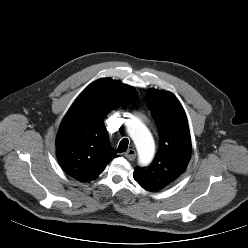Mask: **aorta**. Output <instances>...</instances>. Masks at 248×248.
Segmentation results:
<instances>
[{
	"instance_id": "obj_1",
	"label": "aorta",
	"mask_w": 248,
	"mask_h": 248,
	"mask_svg": "<svg viewBox=\"0 0 248 248\" xmlns=\"http://www.w3.org/2000/svg\"><path fill=\"white\" fill-rule=\"evenodd\" d=\"M127 132L136 146L140 164L150 163L155 153V144L150 131L139 119L132 118L127 122Z\"/></svg>"
}]
</instances>
